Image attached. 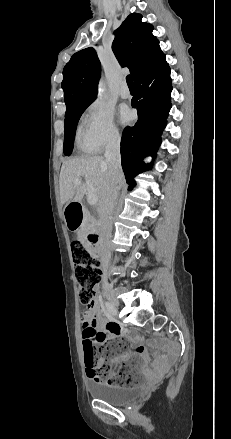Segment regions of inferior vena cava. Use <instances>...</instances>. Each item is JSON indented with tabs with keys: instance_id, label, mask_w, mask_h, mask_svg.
<instances>
[{
	"instance_id": "602c4592",
	"label": "inferior vena cava",
	"mask_w": 231,
	"mask_h": 439,
	"mask_svg": "<svg viewBox=\"0 0 231 439\" xmlns=\"http://www.w3.org/2000/svg\"><path fill=\"white\" fill-rule=\"evenodd\" d=\"M105 160L108 164L110 171V185L107 192L101 202V222L105 230V243L100 246L102 261H108L110 259V252L107 247V242L111 235L112 223L111 218L115 208L116 200L118 198L119 183L123 177L121 168V156H120V138H112L106 146Z\"/></svg>"
}]
</instances>
